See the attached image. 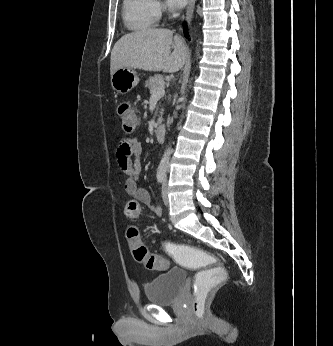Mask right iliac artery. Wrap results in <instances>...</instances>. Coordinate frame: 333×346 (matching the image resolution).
Segmentation results:
<instances>
[{
    "mask_svg": "<svg viewBox=\"0 0 333 346\" xmlns=\"http://www.w3.org/2000/svg\"><path fill=\"white\" fill-rule=\"evenodd\" d=\"M165 175H166V169L159 168L157 170V181H158V183L161 184L164 181Z\"/></svg>",
    "mask_w": 333,
    "mask_h": 346,
    "instance_id": "1",
    "label": "right iliac artery"
}]
</instances>
